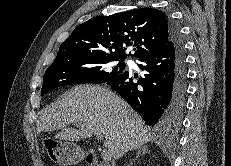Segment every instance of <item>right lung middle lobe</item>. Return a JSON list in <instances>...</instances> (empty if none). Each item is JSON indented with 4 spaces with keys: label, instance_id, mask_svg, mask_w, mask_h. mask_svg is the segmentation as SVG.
<instances>
[{
    "label": "right lung middle lobe",
    "instance_id": "obj_1",
    "mask_svg": "<svg viewBox=\"0 0 231 166\" xmlns=\"http://www.w3.org/2000/svg\"><path fill=\"white\" fill-rule=\"evenodd\" d=\"M124 69V59L114 56L88 53L56 58L44 74L41 95L63 85L105 83Z\"/></svg>",
    "mask_w": 231,
    "mask_h": 166
}]
</instances>
